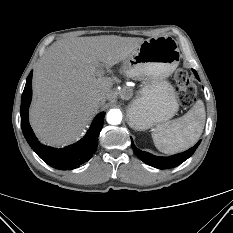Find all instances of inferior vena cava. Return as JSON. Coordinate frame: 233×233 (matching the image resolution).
<instances>
[{
  "label": "inferior vena cava",
  "mask_w": 233,
  "mask_h": 233,
  "mask_svg": "<svg viewBox=\"0 0 233 233\" xmlns=\"http://www.w3.org/2000/svg\"><path fill=\"white\" fill-rule=\"evenodd\" d=\"M101 99V97H98V100H100Z\"/></svg>",
  "instance_id": "inferior-vena-cava-1"
}]
</instances>
